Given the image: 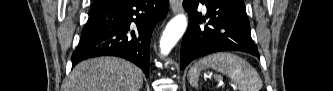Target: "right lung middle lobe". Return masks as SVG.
<instances>
[{
  "label": "right lung middle lobe",
  "instance_id": "dd1d6c3e",
  "mask_svg": "<svg viewBox=\"0 0 333 91\" xmlns=\"http://www.w3.org/2000/svg\"><path fill=\"white\" fill-rule=\"evenodd\" d=\"M121 0H95L93 6H99V5H109L113 3H117Z\"/></svg>",
  "mask_w": 333,
  "mask_h": 91
}]
</instances>
